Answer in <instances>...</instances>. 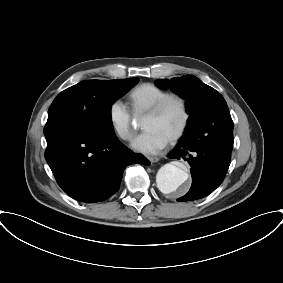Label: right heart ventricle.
Listing matches in <instances>:
<instances>
[{
  "label": "right heart ventricle",
  "mask_w": 283,
  "mask_h": 283,
  "mask_svg": "<svg viewBox=\"0 0 283 283\" xmlns=\"http://www.w3.org/2000/svg\"><path fill=\"white\" fill-rule=\"evenodd\" d=\"M170 93L152 83H144L135 87L128 95V100L136 116L145 115L147 111L162 97Z\"/></svg>",
  "instance_id": "1"
}]
</instances>
